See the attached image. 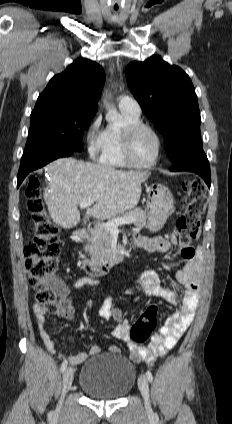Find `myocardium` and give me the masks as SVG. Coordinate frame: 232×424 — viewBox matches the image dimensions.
Returning a JSON list of instances; mask_svg holds the SVG:
<instances>
[{"mask_svg": "<svg viewBox=\"0 0 232 424\" xmlns=\"http://www.w3.org/2000/svg\"><path fill=\"white\" fill-rule=\"evenodd\" d=\"M141 130H148L149 132H151L157 141L156 155L151 162L146 164L137 163L132 156V146H133L134 138L138 134V132H140ZM162 146H163V143H162L161 136L149 124H146L140 121V122L133 123L126 126L123 130V154H124V158L126 162L131 167L139 168V169H147V168H151L155 166L160 160Z\"/></svg>", "mask_w": 232, "mask_h": 424, "instance_id": "1", "label": "myocardium"}]
</instances>
